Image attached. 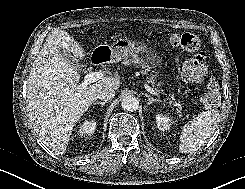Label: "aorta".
I'll return each mask as SVG.
<instances>
[{"instance_id":"762f6f07","label":"aorta","mask_w":245,"mask_h":189,"mask_svg":"<svg viewBox=\"0 0 245 189\" xmlns=\"http://www.w3.org/2000/svg\"><path fill=\"white\" fill-rule=\"evenodd\" d=\"M121 106L125 111L133 112L138 109V99L133 95L125 96L121 101Z\"/></svg>"}]
</instances>
